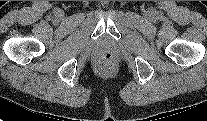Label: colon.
<instances>
[{"mask_svg": "<svg viewBox=\"0 0 207 121\" xmlns=\"http://www.w3.org/2000/svg\"><path fill=\"white\" fill-rule=\"evenodd\" d=\"M116 63L115 57L110 52H103L96 58V65L101 71H110Z\"/></svg>", "mask_w": 207, "mask_h": 121, "instance_id": "5ec220e1", "label": "colon"}]
</instances>
